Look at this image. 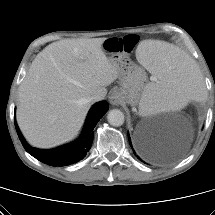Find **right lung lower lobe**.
Masks as SVG:
<instances>
[{"instance_id":"98d812e1","label":"right lung lower lobe","mask_w":215,"mask_h":215,"mask_svg":"<svg viewBox=\"0 0 215 215\" xmlns=\"http://www.w3.org/2000/svg\"><path fill=\"white\" fill-rule=\"evenodd\" d=\"M108 108L109 105L106 101H100L96 103L87 115L83 131L79 138L72 143L50 150L31 147L27 144L24 137L22 136L16 121L15 127L23 147L30 155H32L37 160L53 167L66 166L76 163L86 156L92 145L94 135L93 129L100 118H102V116L107 112Z\"/></svg>"}]
</instances>
